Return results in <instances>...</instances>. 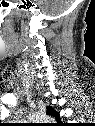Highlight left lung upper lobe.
Masks as SVG:
<instances>
[{
  "label": "left lung upper lobe",
  "instance_id": "5c2ea615",
  "mask_svg": "<svg viewBox=\"0 0 95 126\" xmlns=\"http://www.w3.org/2000/svg\"><path fill=\"white\" fill-rule=\"evenodd\" d=\"M47 114L55 117L57 120H59V113H57L53 108L47 107Z\"/></svg>",
  "mask_w": 95,
  "mask_h": 126
}]
</instances>
